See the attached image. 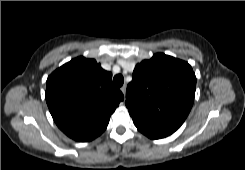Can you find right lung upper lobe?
I'll return each mask as SVG.
<instances>
[{"label":"right lung upper lobe","instance_id":"right-lung-upper-lobe-1","mask_svg":"<svg viewBox=\"0 0 245 170\" xmlns=\"http://www.w3.org/2000/svg\"><path fill=\"white\" fill-rule=\"evenodd\" d=\"M112 74L94 59L77 57L54 71L46 82V102L57 126L76 141L101 135L122 92Z\"/></svg>","mask_w":245,"mask_h":170}]
</instances>
